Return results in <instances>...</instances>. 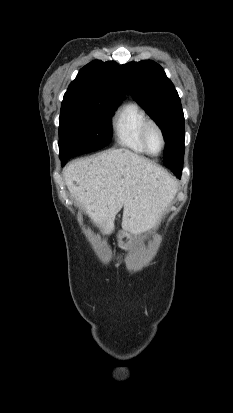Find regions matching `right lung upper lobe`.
<instances>
[{
	"mask_svg": "<svg viewBox=\"0 0 233 413\" xmlns=\"http://www.w3.org/2000/svg\"><path fill=\"white\" fill-rule=\"evenodd\" d=\"M126 93L119 65L114 61L94 60L79 71L64 96L123 100Z\"/></svg>",
	"mask_w": 233,
	"mask_h": 413,
	"instance_id": "1",
	"label": "right lung upper lobe"
}]
</instances>
